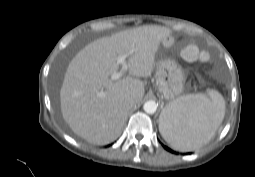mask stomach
<instances>
[{
    "label": "stomach",
    "mask_w": 255,
    "mask_h": 177,
    "mask_svg": "<svg viewBox=\"0 0 255 177\" xmlns=\"http://www.w3.org/2000/svg\"><path fill=\"white\" fill-rule=\"evenodd\" d=\"M172 40V36H167L163 42ZM185 80L182 67L174 60L161 58L156 62V86L165 99L171 102L178 99L184 91Z\"/></svg>",
    "instance_id": "obj_1"
}]
</instances>
